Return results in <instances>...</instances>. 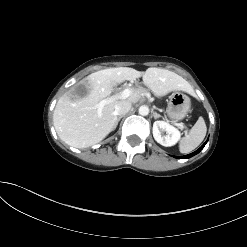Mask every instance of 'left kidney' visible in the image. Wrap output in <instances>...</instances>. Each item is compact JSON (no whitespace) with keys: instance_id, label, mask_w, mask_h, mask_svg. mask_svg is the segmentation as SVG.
Masks as SVG:
<instances>
[{"instance_id":"5707ae66","label":"left kidney","mask_w":247,"mask_h":247,"mask_svg":"<svg viewBox=\"0 0 247 247\" xmlns=\"http://www.w3.org/2000/svg\"><path fill=\"white\" fill-rule=\"evenodd\" d=\"M161 131L166 132V136L161 135ZM153 137L161 145L170 147L175 145L181 137L178 129L165 121H155L153 124Z\"/></svg>"}]
</instances>
